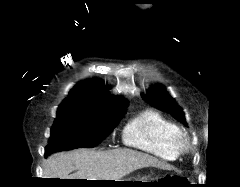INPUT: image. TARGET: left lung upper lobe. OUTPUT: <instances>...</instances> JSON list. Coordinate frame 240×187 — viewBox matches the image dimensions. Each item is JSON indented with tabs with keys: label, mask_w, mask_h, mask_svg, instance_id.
I'll use <instances>...</instances> for the list:
<instances>
[{
	"label": "left lung upper lobe",
	"mask_w": 240,
	"mask_h": 187,
	"mask_svg": "<svg viewBox=\"0 0 240 187\" xmlns=\"http://www.w3.org/2000/svg\"><path fill=\"white\" fill-rule=\"evenodd\" d=\"M142 98L149 104L170 113L175 116L184 125H187L182 109L177 105L176 101L169 95L162 85H156L150 88Z\"/></svg>",
	"instance_id": "1"
}]
</instances>
